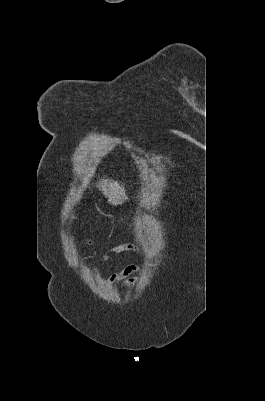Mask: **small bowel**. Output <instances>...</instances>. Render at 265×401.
Masks as SVG:
<instances>
[{
  "instance_id": "c3829d8e",
  "label": "small bowel",
  "mask_w": 265,
  "mask_h": 401,
  "mask_svg": "<svg viewBox=\"0 0 265 401\" xmlns=\"http://www.w3.org/2000/svg\"><path fill=\"white\" fill-rule=\"evenodd\" d=\"M91 243V242H89ZM125 251L131 252H139V248L132 243H124L114 245L109 249V251L102 257L101 262H107L113 255L120 254ZM95 273L99 275V270L96 267H93ZM140 271V267L137 265H129L124 268L121 272L112 275L109 279V283H117L123 281L124 286L133 285L137 283L138 278L134 277V274Z\"/></svg>"
}]
</instances>
